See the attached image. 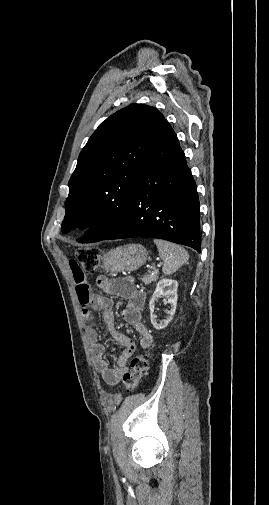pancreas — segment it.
Returning <instances> with one entry per match:
<instances>
[{
	"label": "pancreas",
	"mask_w": 269,
	"mask_h": 505,
	"mask_svg": "<svg viewBox=\"0 0 269 505\" xmlns=\"http://www.w3.org/2000/svg\"><path fill=\"white\" fill-rule=\"evenodd\" d=\"M158 270H154L152 272H149V274H146L143 276L142 281L145 284H150L151 282H155L158 279Z\"/></svg>",
	"instance_id": "1"
}]
</instances>
